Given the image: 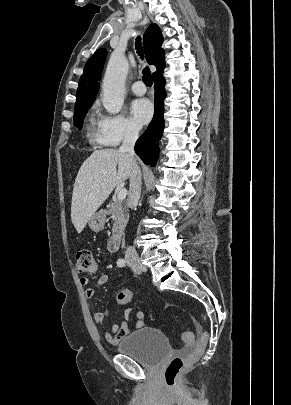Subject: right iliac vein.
I'll use <instances>...</instances> for the list:
<instances>
[{"label":"right iliac vein","instance_id":"obj_1","mask_svg":"<svg viewBox=\"0 0 291 405\" xmlns=\"http://www.w3.org/2000/svg\"><path fill=\"white\" fill-rule=\"evenodd\" d=\"M132 266L133 267H135V268H137V269H140V270H147V268H146V266H144L140 261H138V260H136V261H134L133 263H132Z\"/></svg>","mask_w":291,"mask_h":405}]
</instances>
